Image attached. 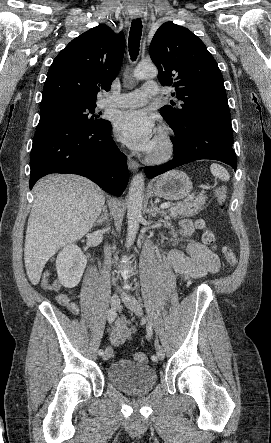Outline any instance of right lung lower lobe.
<instances>
[{
  "label": "right lung lower lobe",
  "instance_id": "98d812e1",
  "mask_svg": "<svg viewBox=\"0 0 271 443\" xmlns=\"http://www.w3.org/2000/svg\"><path fill=\"white\" fill-rule=\"evenodd\" d=\"M30 189L51 173L89 178L104 191L120 196L129 172L127 158L111 137V123L88 128L67 121L37 126L30 155Z\"/></svg>",
  "mask_w": 271,
  "mask_h": 443
}]
</instances>
